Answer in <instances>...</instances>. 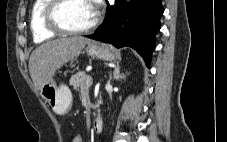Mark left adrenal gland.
Returning a JSON list of instances; mask_svg holds the SVG:
<instances>
[{
	"label": "left adrenal gland",
	"mask_w": 227,
	"mask_h": 142,
	"mask_svg": "<svg viewBox=\"0 0 227 142\" xmlns=\"http://www.w3.org/2000/svg\"><path fill=\"white\" fill-rule=\"evenodd\" d=\"M125 75L124 74H120V67H117L114 71V79L115 80H121L124 79Z\"/></svg>",
	"instance_id": "a2214340"
}]
</instances>
